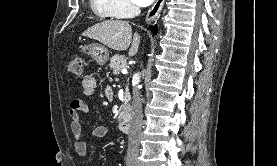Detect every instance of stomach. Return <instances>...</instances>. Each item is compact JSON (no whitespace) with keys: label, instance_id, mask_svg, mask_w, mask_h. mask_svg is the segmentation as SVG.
<instances>
[{"label":"stomach","instance_id":"1","mask_svg":"<svg viewBox=\"0 0 277 166\" xmlns=\"http://www.w3.org/2000/svg\"><path fill=\"white\" fill-rule=\"evenodd\" d=\"M81 51L87 53L99 65H105L109 59V51L101 44L82 45Z\"/></svg>","mask_w":277,"mask_h":166}]
</instances>
